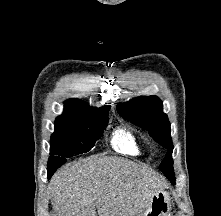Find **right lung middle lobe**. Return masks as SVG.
<instances>
[{
    "mask_svg": "<svg viewBox=\"0 0 221 216\" xmlns=\"http://www.w3.org/2000/svg\"><path fill=\"white\" fill-rule=\"evenodd\" d=\"M107 125L108 113L82 117L64 125L55 126V132L51 136L48 173L52 174V169L64 164L66 158L91 150Z\"/></svg>",
    "mask_w": 221,
    "mask_h": 216,
    "instance_id": "1",
    "label": "right lung middle lobe"
}]
</instances>
